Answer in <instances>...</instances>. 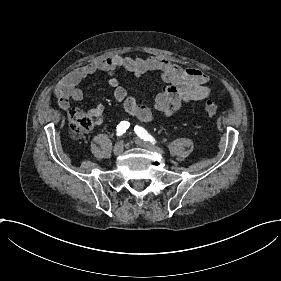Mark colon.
Instances as JSON below:
<instances>
[{
  "label": "colon",
  "mask_w": 281,
  "mask_h": 281,
  "mask_svg": "<svg viewBox=\"0 0 281 281\" xmlns=\"http://www.w3.org/2000/svg\"><path fill=\"white\" fill-rule=\"evenodd\" d=\"M220 111L219 103L215 101H205L201 105V112L207 116L217 115ZM74 126L77 132L84 134L90 131L92 128V122L90 118L82 114H75L73 116Z\"/></svg>",
  "instance_id": "5ec220e1"
}]
</instances>
